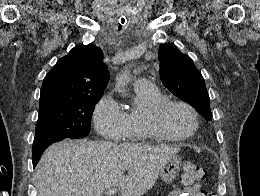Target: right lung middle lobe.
<instances>
[{
    "label": "right lung middle lobe",
    "mask_w": 260,
    "mask_h": 196,
    "mask_svg": "<svg viewBox=\"0 0 260 196\" xmlns=\"http://www.w3.org/2000/svg\"><path fill=\"white\" fill-rule=\"evenodd\" d=\"M100 98L84 96L40 106L33 150L45 149L65 138L86 137L95 104Z\"/></svg>",
    "instance_id": "right-lung-middle-lobe-1"
}]
</instances>
